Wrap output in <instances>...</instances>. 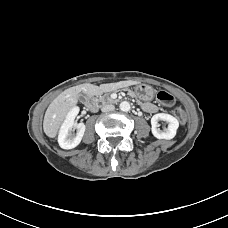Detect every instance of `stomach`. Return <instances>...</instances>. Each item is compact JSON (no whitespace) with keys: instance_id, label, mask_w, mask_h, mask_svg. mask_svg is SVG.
I'll use <instances>...</instances> for the list:
<instances>
[{"instance_id":"1","label":"stomach","mask_w":228,"mask_h":228,"mask_svg":"<svg viewBox=\"0 0 228 228\" xmlns=\"http://www.w3.org/2000/svg\"><path fill=\"white\" fill-rule=\"evenodd\" d=\"M134 95L143 101H150L154 97V90L151 86L140 83L134 87Z\"/></svg>"}]
</instances>
